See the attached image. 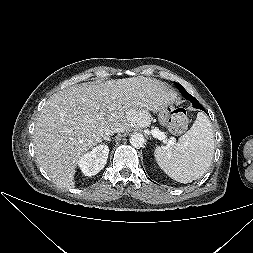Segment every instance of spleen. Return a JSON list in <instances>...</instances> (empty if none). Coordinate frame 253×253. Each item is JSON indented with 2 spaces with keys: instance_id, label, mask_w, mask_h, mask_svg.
Masks as SVG:
<instances>
[{
  "instance_id": "obj_1",
  "label": "spleen",
  "mask_w": 253,
  "mask_h": 253,
  "mask_svg": "<svg viewBox=\"0 0 253 253\" xmlns=\"http://www.w3.org/2000/svg\"><path fill=\"white\" fill-rule=\"evenodd\" d=\"M214 136L208 117L199 112L192 127L178 142L157 146L154 151L159 167L172 179L190 183L202 177L211 165Z\"/></svg>"
}]
</instances>
